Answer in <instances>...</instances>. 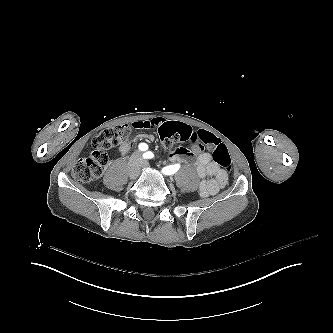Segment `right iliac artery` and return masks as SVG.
Masks as SVG:
<instances>
[{
  "mask_svg": "<svg viewBox=\"0 0 333 333\" xmlns=\"http://www.w3.org/2000/svg\"><path fill=\"white\" fill-rule=\"evenodd\" d=\"M139 149L141 151H146L148 149V145L146 143H141L139 144ZM144 158H146V156L143 155Z\"/></svg>",
  "mask_w": 333,
  "mask_h": 333,
  "instance_id": "right-iliac-artery-1",
  "label": "right iliac artery"
}]
</instances>
